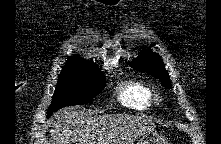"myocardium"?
<instances>
[{
	"mask_svg": "<svg viewBox=\"0 0 221 144\" xmlns=\"http://www.w3.org/2000/svg\"><path fill=\"white\" fill-rule=\"evenodd\" d=\"M154 99H155V101H156L157 103H159V102L162 101V97H161V95H159V94H156L155 97H154Z\"/></svg>",
	"mask_w": 221,
	"mask_h": 144,
	"instance_id": "f54148a6",
	"label": "myocardium"
}]
</instances>
